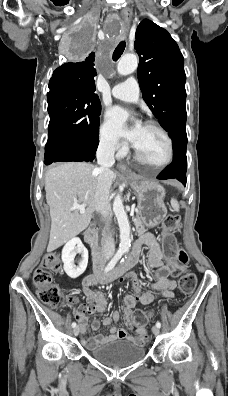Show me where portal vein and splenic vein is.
<instances>
[{
  "label": "portal vein and splenic vein",
  "instance_id": "obj_1",
  "mask_svg": "<svg viewBox=\"0 0 228 396\" xmlns=\"http://www.w3.org/2000/svg\"><path fill=\"white\" fill-rule=\"evenodd\" d=\"M86 204H74L72 210H78L80 214L85 213Z\"/></svg>",
  "mask_w": 228,
  "mask_h": 396
}]
</instances>
